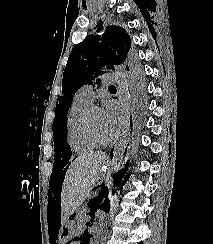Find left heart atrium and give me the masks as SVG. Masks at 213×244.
Instances as JSON below:
<instances>
[{
    "mask_svg": "<svg viewBox=\"0 0 213 244\" xmlns=\"http://www.w3.org/2000/svg\"><path fill=\"white\" fill-rule=\"evenodd\" d=\"M102 119L104 124L113 132L116 124V112L111 103H106L101 110Z\"/></svg>",
    "mask_w": 213,
    "mask_h": 244,
    "instance_id": "obj_1",
    "label": "left heart atrium"
}]
</instances>
